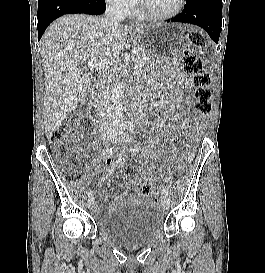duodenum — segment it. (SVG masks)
<instances>
[{
	"label": "duodenum",
	"instance_id": "obj_1",
	"mask_svg": "<svg viewBox=\"0 0 265 273\" xmlns=\"http://www.w3.org/2000/svg\"><path fill=\"white\" fill-rule=\"evenodd\" d=\"M135 117L140 118L141 117V112L137 111L135 114Z\"/></svg>",
	"mask_w": 265,
	"mask_h": 273
}]
</instances>
